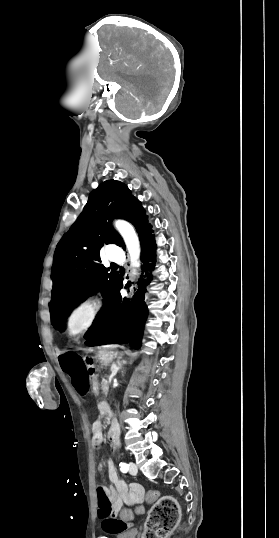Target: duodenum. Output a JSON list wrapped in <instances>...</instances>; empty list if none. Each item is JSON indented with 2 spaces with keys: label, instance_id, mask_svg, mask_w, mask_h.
Masks as SVG:
<instances>
[{
  "label": "duodenum",
  "instance_id": "duodenum-1",
  "mask_svg": "<svg viewBox=\"0 0 279 538\" xmlns=\"http://www.w3.org/2000/svg\"><path fill=\"white\" fill-rule=\"evenodd\" d=\"M90 376L92 377L93 389H96V386H98V381H99V378L97 377V373L95 371H92L90 373ZM97 410H99V413L101 415L110 413V410L106 409V402L104 400L99 401V405H97Z\"/></svg>",
  "mask_w": 279,
  "mask_h": 538
}]
</instances>
